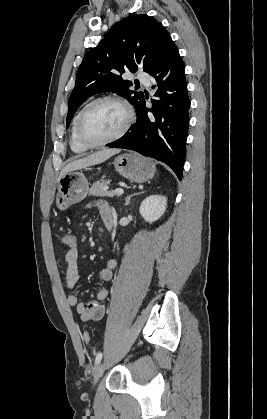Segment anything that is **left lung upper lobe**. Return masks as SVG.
I'll list each match as a JSON object with an SVG mask.
<instances>
[{"mask_svg":"<svg viewBox=\"0 0 267 419\" xmlns=\"http://www.w3.org/2000/svg\"><path fill=\"white\" fill-rule=\"evenodd\" d=\"M171 37L152 17L130 15L116 23L110 32L83 58L68 105L66 127L79 106L90 96L110 91L125 97L136 107L142 92L130 90L131 81L121 75L142 67L149 72L162 58Z\"/></svg>","mask_w":267,"mask_h":419,"instance_id":"5c2ea615","label":"left lung upper lobe"}]
</instances>
